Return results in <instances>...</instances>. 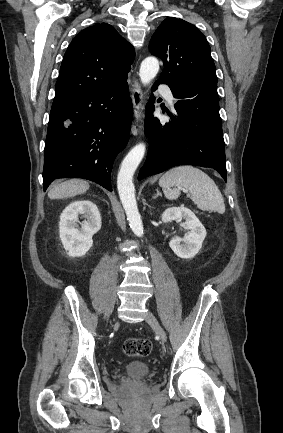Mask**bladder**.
I'll return each mask as SVG.
<instances>
[{
    "label": "bladder",
    "instance_id": "31cf9c89",
    "mask_svg": "<svg viewBox=\"0 0 283 433\" xmlns=\"http://www.w3.org/2000/svg\"><path fill=\"white\" fill-rule=\"evenodd\" d=\"M130 377H138L141 379L150 378L151 370L149 364H141L132 362L129 368L123 370Z\"/></svg>",
    "mask_w": 283,
    "mask_h": 433
}]
</instances>
